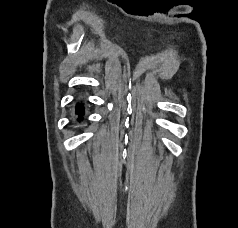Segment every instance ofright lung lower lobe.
I'll use <instances>...</instances> for the list:
<instances>
[{
	"mask_svg": "<svg viewBox=\"0 0 238 228\" xmlns=\"http://www.w3.org/2000/svg\"><path fill=\"white\" fill-rule=\"evenodd\" d=\"M76 113L78 114L79 119H81V117H82V115H83V107H82V105H78V106L76 107Z\"/></svg>",
	"mask_w": 238,
	"mask_h": 228,
	"instance_id": "98d812e1",
	"label": "right lung lower lobe"
}]
</instances>
